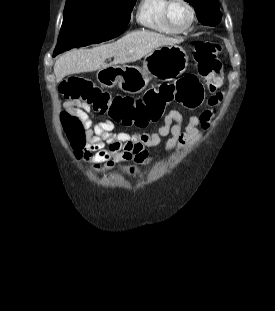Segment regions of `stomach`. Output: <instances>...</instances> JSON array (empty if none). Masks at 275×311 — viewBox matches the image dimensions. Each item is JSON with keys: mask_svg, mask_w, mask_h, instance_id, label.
Listing matches in <instances>:
<instances>
[{"mask_svg": "<svg viewBox=\"0 0 275 311\" xmlns=\"http://www.w3.org/2000/svg\"><path fill=\"white\" fill-rule=\"evenodd\" d=\"M188 66V55L179 45H164L145 56L143 67L108 66L97 72L98 82L105 87L117 85L122 91L135 94L143 91L152 77L171 81Z\"/></svg>", "mask_w": 275, "mask_h": 311, "instance_id": "1", "label": "stomach"}]
</instances>
